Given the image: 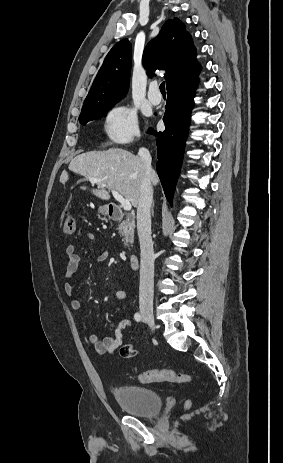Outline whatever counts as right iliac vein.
I'll list each match as a JSON object with an SVG mask.
<instances>
[{
  "label": "right iliac vein",
  "instance_id": "right-iliac-vein-1",
  "mask_svg": "<svg viewBox=\"0 0 283 463\" xmlns=\"http://www.w3.org/2000/svg\"><path fill=\"white\" fill-rule=\"evenodd\" d=\"M141 313H142L143 319L147 322L149 327L152 330H154L155 329V320H154L153 313L151 311H148V310H142Z\"/></svg>",
  "mask_w": 283,
  "mask_h": 463
}]
</instances>
